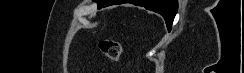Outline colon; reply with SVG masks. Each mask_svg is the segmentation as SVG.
<instances>
[{
    "label": "colon",
    "mask_w": 244,
    "mask_h": 73,
    "mask_svg": "<svg viewBox=\"0 0 244 73\" xmlns=\"http://www.w3.org/2000/svg\"><path fill=\"white\" fill-rule=\"evenodd\" d=\"M102 53L111 61H118L121 58L122 46L118 40L104 39L99 43Z\"/></svg>",
    "instance_id": "1"
}]
</instances>
